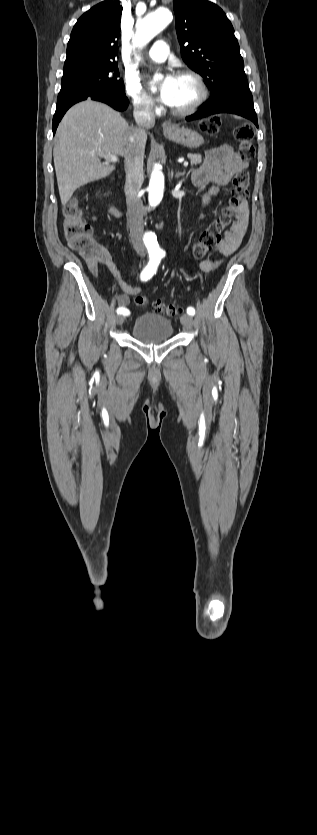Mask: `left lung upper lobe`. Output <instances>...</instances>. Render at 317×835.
Instances as JSON below:
<instances>
[{"label": "left lung upper lobe", "mask_w": 317, "mask_h": 835, "mask_svg": "<svg viewBox=\"0 0 317 835\" xmlns=\"http://www.w3.org/2000/svg\"><path fill=\"white\" fill-rule=\"evenodd\" d=\"M181 55L199 73L218 103L235 91L250 92L234 29L223 10L207 0H173Z\"/></svg>", "instance_id": "left-lung-upper-lobe-1"}]
</instances>
